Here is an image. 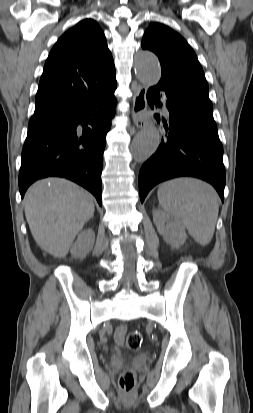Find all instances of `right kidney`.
<instances>
[{
	"label": "right kidney",
	"instance_id": "right-kidney-1",
	"mask_svg": "<svg viewBox=\"0 0 253 413\" xmlns=\"http://www.w3.org/2000/svg\"><path fill=\"white\" fill-rule=\"evenodd\" d=\"M95 233L92 229L80 232L76 242L72 245L70 252L74 258H84L93 249Z\"/></svg>",
	"mask_w": 253,
	"mask_h": 413
}]
</instances>
